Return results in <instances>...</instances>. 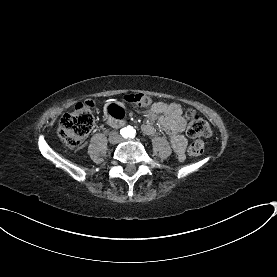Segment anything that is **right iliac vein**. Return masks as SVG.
<instances>
[{
	"instance_id": "1",
	"label": "right iliac vein",
	"mask_w": 277,
	"mask_h": 277,
	"mask_svg": "<svg viewBox=\"0 0 277 277\" xmlns=\"http://www.w3.org/2000/svg\"><path fill=\"white\" fill-rule=\"evenodd\" d=\"M110 142H112V143L116 142V138L115 137H111L110 138Z\"/></svg>"
}]
</instances>
